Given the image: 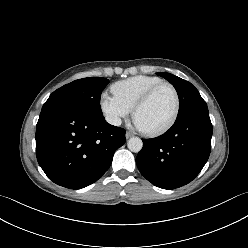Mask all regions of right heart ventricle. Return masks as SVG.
Segmentation results:
<instances>
[{
    "label": "right heart ventricle",
    "instance_id": "obj_1",
    "mask_svg": "<svg viewBox=\"0 0 248 248\" xmlns=\"http://www.w3.org/2000/svg\"><path fill=\"white\" fill-rule=\"evenodd\" d=\"M159 82L162 80L157 77L137 75L114 83L111 89L118 99L132 109L136 101Z\"/></svg>",
    "mask_w": 248,
    "mask_h": 248
}]
</instances>
